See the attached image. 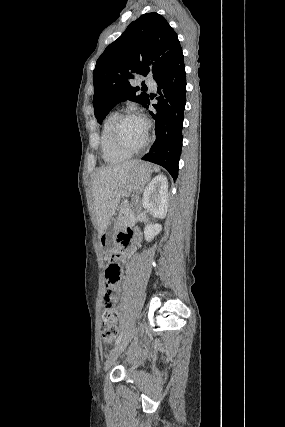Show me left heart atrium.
<instances>
[{"mask_svg": "<svg viewBox=\"0 0 285 427\" xmlns=\"http://www.w3.org/2000/svg\"><path fill=\"white\" fill-rule=\"evenodd\" d=\"M141 121L144 123V125L146 126V122H145V120H143V119H141Z\"/></svg>", "mask_w": 285, "mask_h": 427, "instance_id": "left-heart-atrium-1", "label": "left heart atrium"}]
</instances>
